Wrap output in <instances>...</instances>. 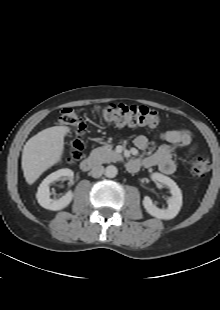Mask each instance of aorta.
Wrapping results in <instances>:
<instances>
[{
	"mask_svg": "<svg viewBox=\"0 0 220 310\" xmlns=\"http://www.w3.org/2000/svg\"><path fill=\"white\" fill-rule=\"evenodd\" d=\"M118 173L117 168L114 165H109L105 169V175L108 178H114Z\"/></svg>",
	"mask_w": 220,
	"mask_h": 310,
	"instance_id": "obj_1",
	"label": "aorta"
}]
</instances>
